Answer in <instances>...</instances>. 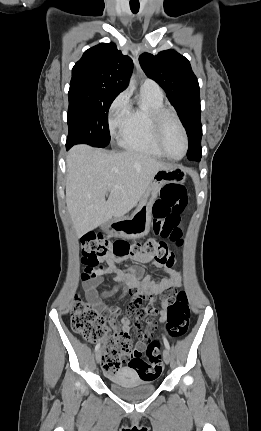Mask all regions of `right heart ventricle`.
I'll use <instances>...</instances> for the list:
<instances>
[{
  "mask_svg": "<svg viewBox=\"0 0 261 431\" xmlns=\"http://www.w3.org/2000/svg\"><path fill=\"white\" fill-rule=\"evenodd\" d=\"M146 107L131 108L125 126L121 130L119 144L122 148L157 158L165 157L155 143L150 121V111L164 108L162 95L142 89Z\"/></svg>",
  "mask_w": 261,
  "mask_h": 431,
  "instance_id": "e07e8e85",
  "label": "right heart ventricle"
}]
</instances>
